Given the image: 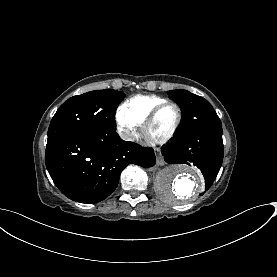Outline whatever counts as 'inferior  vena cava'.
Instances as JSON below:
<instances>
[{
  "mask_svg": "<svg viewBox=\"0 0 277 277\" xmlns=\"http://www.w3.org/2000/svg\"><path fill=\"white\" fill-rule=\"evenodd\" d=\"M119 136L121 139L123 140H133L134 139V135H132L130 132H119Z\"/></svg>",
  "mask_w": 277,
  "mask_h": 277,
  "instance_id": "inferior-vena-cava-1",
  "label": "inferior vena cava"
}]
</instances>
